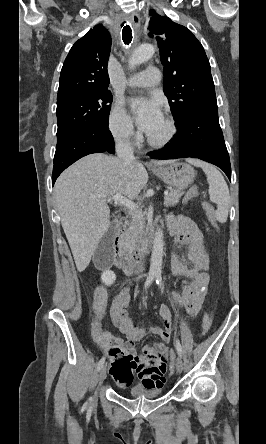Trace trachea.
I'll return each instance as SVG.
<instances>
[{"label": "trachea", "mask_w": 266, "mask_h": 444, "mask_svg": "<svg viewBox=\"0 0 266 444\" xmlns=\"http://www.w3.org/2000/svg\"><path fill=\"white\" fill-rule=\"evenodd\" d=\"M122 39L125 45H129L132 41V29L129 25H125L122 30Z\"/></svg>", "instance_id": "obj_1"}]
</instances>
